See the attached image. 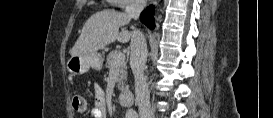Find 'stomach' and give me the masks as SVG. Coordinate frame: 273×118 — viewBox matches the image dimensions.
Wrapping results in <instances>:
<instances>
[{
  "label": "stomach",
  "instance_id": "obj_1",
  "mask_svg": "<svg viewBox=\"0 0 273 118\" xmlns=\"http://www.w3.org/2000/svg\"><path fill=\"white\" fill-rule=\"evenodd\" d=\"M103 66V57L98 52L86 55H74L67 62V70L73 75H81L90 68L100 70Z\"/></svg>",
  "mask_w": 273,
  "mask_h": 118
}]
</instances>
